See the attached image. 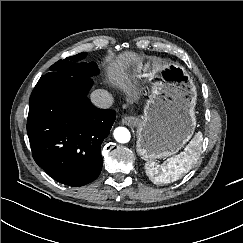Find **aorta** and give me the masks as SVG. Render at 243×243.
<instances>
[{"label":"aorta","mask_w":243,"mask_h":243,"mask_svg":"<svg viewBox=\"0 0 243 243\" xmlns=\"http://www.w3.org/2000/svg\"><path fill=\"white\" fill-rule=\"evenodd\" d=\"M113 135L115 140L119 143H127L130 141L131 138V134L129 130L125 127H117L114 130Z\"/></svg>","instance_id":"762f6f07"}]
</instances>
